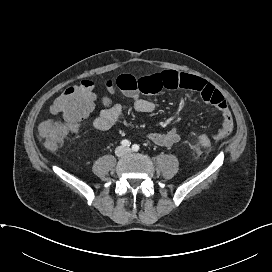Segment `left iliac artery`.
Wrapping results in <instances>:
<instances>
[{"instance_id": "obj_1", "label": "left iliac artery", "mask_w": 272, "mask_h": 272, "mask_svg": "<svg viewBox=\"0 0 272 272\" xmlns=\"http://www.w3.org/2000/svg\"><path fill=\"white\" fill-rule=\"evenodd\" d=\"M139 145H137V144H134L133 146H132V150L133 151H138L139 150Z\"/></svg>"}]
</instances>
